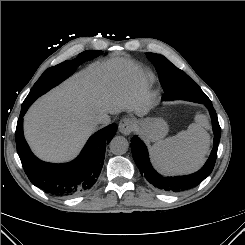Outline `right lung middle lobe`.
Listing matches in <instances>:
<instances>
[{"instance_id":"dd1d6c3e","label":"right lung middle lobe","mask_w":245,"mask_h":245,"mask_svg":"<svg viewBox=\"0 0 245 245\" xmlns=\"http://www.w3.org/2000/svg\"><path fill=\"white\" fill-rule=\"evenodd\" d=\"M101 54L102 51L97 50L84 51L73 60L64 61L56 66L48 68L34 84L22 105H31L39 96L46 93L51 88L55 87L70 75H72L77 66L85 62L88 58L97 57Z\"/></svg>"}]
</instances>
